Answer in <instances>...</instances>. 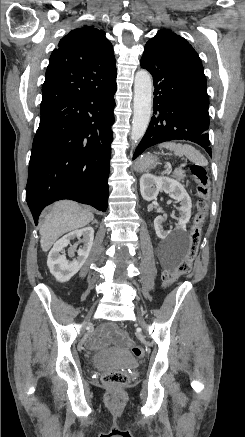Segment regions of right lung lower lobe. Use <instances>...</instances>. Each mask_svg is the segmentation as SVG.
<instances>
[{
  "mask_svg": "<svg viewBox=\"0 0 245 437\" xmlns=\"http://www.w3.org/2000/svg\"><path fill=\"white\" fill-rule=\"evenodd\" d=\"M115 92L116 79L94 93L41 111L26 186L36 225L42 209L61 199L106 211Z\"/></svg>",
  "mask_w": 245,
  "mask_h": 437,
  "instance_id": "1",
  "label": "right lung lower lobe"
}]
</instances>
